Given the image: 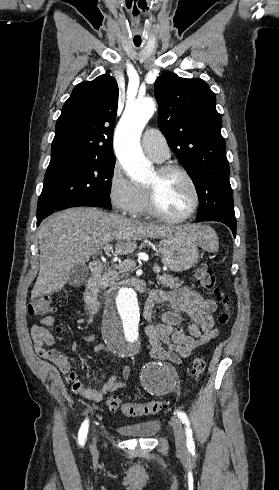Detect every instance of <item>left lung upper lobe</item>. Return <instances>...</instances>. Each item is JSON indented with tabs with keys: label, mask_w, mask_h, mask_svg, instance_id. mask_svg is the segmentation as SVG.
Instances as JSON below:
<instances>
[{
	"label": "left lung upper lobe",
	"mask_w": 279,
	"mask_h": 490,
	"mask_svg": "<svg viewBox=\"0 0 279 490\" xmlns=\"http://www.w3.org/2000/svg\"><path fill=\"white\" fill-rule=\"evenodd\" d=\"M154 93L160 107L159 128L196 187V220L212 216L236 220L215 94L202 79L171 72L156 80Z\"/></svg>",
	"instance_id": "1"
}]
</instances>
